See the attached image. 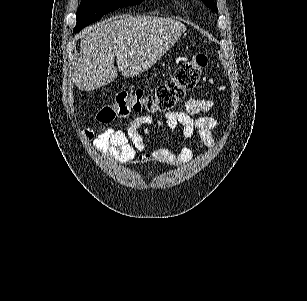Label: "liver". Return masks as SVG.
<instances>
[{"label": "liver", "instance_id": "liver-1", "mask_svg": "<svg viewBox=\"0 0 307 301\" xmlns=\"http://www.w3.org/2000/svg\"><path fill=\"white\" fill-rule=\"evenodd\" d=\"M185 30L180 20L142 14H119L87 26L79 32L73 82L80 90H95L117 78L118 70L125 78L137 76L160 60Z\"/></svg>", "mask_w": 307, "mask_h": 301}]
</instances>
